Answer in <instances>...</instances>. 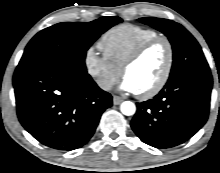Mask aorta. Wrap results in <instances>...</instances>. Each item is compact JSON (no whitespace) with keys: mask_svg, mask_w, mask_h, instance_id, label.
<instances>
[{"mask_svg":"<svg viewBox=\"0 0 220 173\" xmlns=\"http://www.w3.org/2000/svg\"><path fill=\"white\" fill-rule=\"evenodd\" d=\"M121 112L126 115V116H131L135 113L136 111V106L133 102L131 101H125L121 104L120 106Z\"/></svg>","mask_w":220,"mask_h":173,"instance_id":"1","label":"aorta"}]
</instances>
